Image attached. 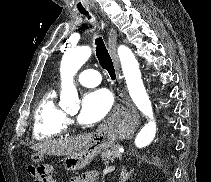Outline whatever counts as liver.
<instances>
[{"instance_id":"6515ba94","label":"liver","mask_w":211,"mask_h":182,"mask_svg":"<svg viewBox=\"0 0 211 182\" xmlns=\"http://www.w3.org/2000/svg\"><path fill=\"white\" fill-rule=\"evenodd\" d=\"M93 133L68 137L65 139L46 140L32 145V149L40 154L68 156L82 150L92 139Z\"/></svg>"}]
</instances>
